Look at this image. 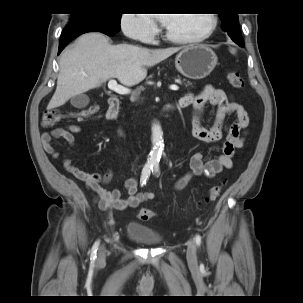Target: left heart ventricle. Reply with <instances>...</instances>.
I'll list each match as a JSON object with an SVG mask.
<instances>
[{
    "mask_svg": "<svg viewBox=\"0 0 303 303\" xmlns=\"http://www.w3.org/2000/svg\"><path fill=\"white\" fill-rule=\"evenodd\" d=\"M166 29L175 36L190 37L205 32L211 23L209 14H170Z\"/></svg>",
    "mask_w": 303,
    "mask_h": 303,
    "instance_id": "left-heart-ventricle-1",
    "label": "left heart ventricle"
}]
</instances>
